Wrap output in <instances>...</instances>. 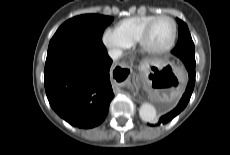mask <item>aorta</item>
<instances>
[{"mask_svg": "<svg viewBox=\"0 0 230 155\" xmlns=\"http://www.w3.org/2000/svg\"><path fill=\"white\" fill-rule=\"evenodd\" d=\"M139 115L145 122H154L156 119V109L150 103H143L140 107Z\"/></svg>", "mask_w": 230, "mask_h": 155, "instance_id": "aorta-1", "label": "aorta"}]
</instances>
